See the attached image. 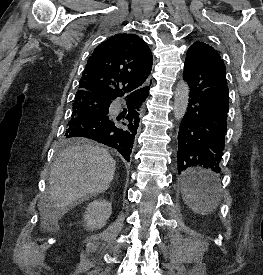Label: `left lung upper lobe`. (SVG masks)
<instances>
[{
  "mask_svg": "<svg viewBox=\"0 0 263 275\" xmlns=\"http://www.w3.org/2000/svg\"><path fill=\"white\" fill-rule=\"evenodd\" d=\"M211 52L217 56H220L215 50L214 48H212L211 46L205 44V43H201V42H195L193 45L190 46V48L188 49V53L190 52Z\"/></svg>",
  "mask_w": 263,
  "mask_h": 275,
  "instance_id": "obj_1",
  "label": "left lung upper lobe"
}]
</instances>
